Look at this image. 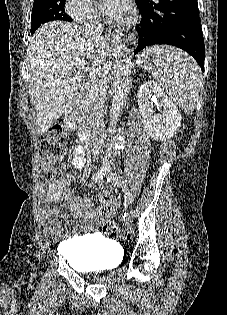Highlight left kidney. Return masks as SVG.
<instances>
[{"instance_id":"5707ae66","label":"left kidney","mask_w":227,"mask_h":315,"mask_svg":"<svg viewBox=\"0 0 227 315\" xmlns=\"http://www.w3.org/2000/svg\"><path fill=\"white\" fill-rule=\"evenodd\" d=\"M137 98L146 133L154 140L172 137L181 125V114L161 87L147 81L140 86ZM155 108L160 113L156 114Z\"/></svg>"}]
</instances>
